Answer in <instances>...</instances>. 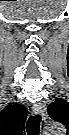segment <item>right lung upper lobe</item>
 <instances>
[{
	"label": "right lung upper lobe",
	"instance_id": "1",
	"mask_svg": "<svg viewBox=\"0 0 69 135\" xmlns=\"http://www.w3.org/2000/svg\"><path fill=\"white\" fill-rule=\"evenodd\" d=\"M27 116L28 110L25 107L9 104L0 112L1 132H9L10 135H23Z\"/></svg>",
	"mask_w": 69,
	"mask_h": 135
}]
</instances>
